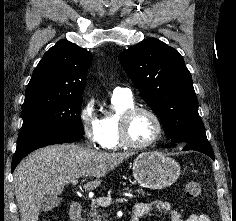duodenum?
<instances>
[{"instance_id": "duodenum-1", "label": "duodenum", "mask_w": 236, "mask_h": 221, "mask_svg": "<svg viewBox=\"0 0 236 221\" xmlns=\"http://www.w3.org/2000/svg\"><path fill=\"white\" fill-rule=\"evenodd\" d=\"M83 213V206L79 201H73L70 205L69 216L70 221H81V216ZM136 217H132L130 221H138Z\"/></svg>"}]
</instances>
